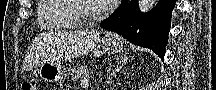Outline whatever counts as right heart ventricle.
I'll return each mask as SVG.
<instances>
[{"label": "right heart ventricle", "mask_w": 216, "mask_h": 90, "mask_svg": "<svg viewBox=\"0 0 216 90\" xmlns=\"http://www.w3.org/2000/svg\"><path fill=\"white\" fill-rule=\"evenodd\" d=\"M41 6L37 7L35 16H38L37 25L39 29H57V28H84L83 23L78 19H73L68 15L67 2L73 0H40Z\"/></svg>", "instance_id": "obj_1"}]
</instances>
